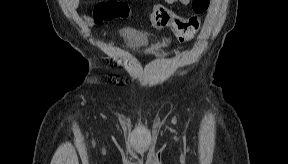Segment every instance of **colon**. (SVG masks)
I'll list each match as a JSON object with an SVG mask.
<instances>
[{"instance_id":"colon-1","label":"colon","mask_w":288,"mask_h":164,"mask_svg":"<svg viewBox=\"0 0 288 164\" xmlns=\"http://www.w3.org/2000/svg\"><path fill=\"white\" fill-rule=\"evenodd\" d=\"M209 3V0H196L193 8L201 13L207 9ZM128 12V8L123 3L103 0L94 6L93 18L96 23H104L119 17H127ZM149 23L155 30L169 27L178 40L185 42L197 35L202 26V19L199 15H191L184 20L171 9L155 5L150 11Z\"/></svg>"}]
</instances>
